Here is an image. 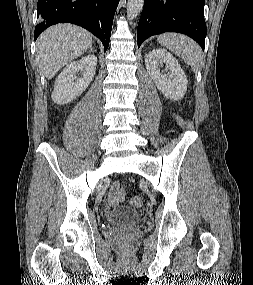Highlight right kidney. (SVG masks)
<instances>
[{
	"instance_id": "obj_1",
	"label": "right kidney",
	"mask_w": 253,
	"mask_h": 285,
	"mask_svg": "<svg viewBox=\"0 0 253 285\" xmlns=\"http://www.w3.org/2000/svg\"><path fill=\"white\" fill-rule=\"evenodd\" d=\"M97 65V57L89 54L78 61L68 64L58 75L52 100L58 105L67 104L80 96L93 80ZM82 71V77H76V73Z\"/></svg>"
}]
</instances>
